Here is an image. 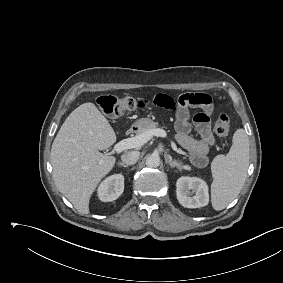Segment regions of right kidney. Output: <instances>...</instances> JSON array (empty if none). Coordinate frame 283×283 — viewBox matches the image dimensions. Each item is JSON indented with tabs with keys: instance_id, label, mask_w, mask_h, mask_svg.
<instances>
[{
	"instance_id": "obj_1",
	"label": "right kidney",
	"mask_w": 283,
	"mask_h": 283,
	"mask_svg": "<svg viewBox=\"0 0 283 283\" xmlns=\"http://www.w3.org/2000/svg\"><path fill=\"white\" fill-rule=\"evenodd\" d=\"M124 190V176L115 174L107 177L98 187V197L103 202L116 200Z\"/></svg>"
}]
</instances>
